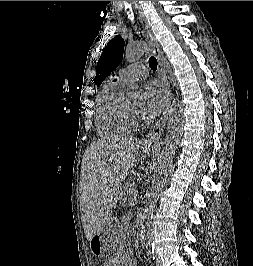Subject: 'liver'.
I'll return each mask as SVG.
<instances>
[{
    "label": "liver",
    "instance_id": "6515ba94",
    "mask_svg": "<svg viewBox=\"0 0 253 266\" xmlns=\"http://www.w3.org/2000/svg\"><path fill=\"white\" fill-rule=\"evenodd\" d=\"M146 145L137 138L98 140L84 154L81 174V220L88 241L112 216L119 188L135 166L139 149Z\"/></svg>",
    "mask_w": 253,
    "mask_h": 266
}]
</instances>
